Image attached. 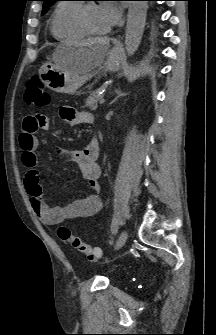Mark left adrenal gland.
<instances>
[{
	"label": "left adrenal gland",
	"instance_id": "obj_1",
	"mask_svg": "<svg viewBox=\"0 0 216 335\" xmlns=\"http://www.w3.org/2000/svg\"><path fill=\"white\" fill-rule=\"evenodd\" d=\"M115 93H116L117 96L114 99V101H117L119 98L124 97V96H126L128 94L126 92L121 91L120 89H116Z\"/></svg>",
	"mask_w": 216,
	"mask_h": 335
}]
</instances>
